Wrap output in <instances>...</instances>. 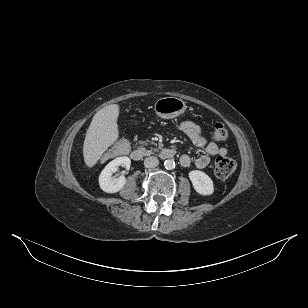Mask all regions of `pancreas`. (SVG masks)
Wrapping results in <instances>:
<instances>
[{"label": "pancreas", "mask_w": 308, "mask_h": 308, "mask_svg": "<svg viewBox=\"0 0 308 308\" xmlns=\"http://www.w3.org/2000/svg\"><path fill=\"white\" fill-rule=\"evenodd\" d=\"M142 144L147 145L145 142H142ZM148 153L151 154V153H152V150H149Z\"/></svg>", "instance_id": "1"}]
</instances>
